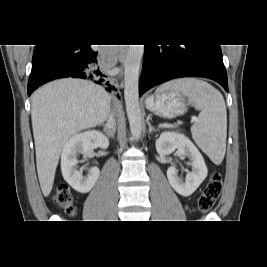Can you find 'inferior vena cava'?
Returning a JSON list of instances; mask_svg holds the SVG:
<instances>
[{
    "instance_id": "inferior-vena-cava-1",
    "label": "inferior vena cava",
    "mask_w": 267,
    "mask_h": 267,
    "mask_svg": "<svg viewBox=\"0 0 267 267\" xmlns=\"http://www.w3.org/2000/svg\"><path fill=\"white\" fill-rule=\"evenodd\" d=\"M107 129L111 132L113 129L115 130V120L113 118V114L109 115V118L107 120L106 124Z\"/></svg>"
}]
</instances>
